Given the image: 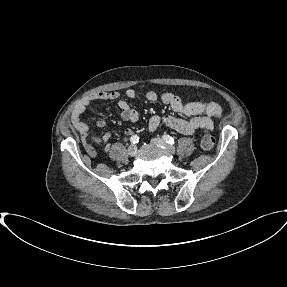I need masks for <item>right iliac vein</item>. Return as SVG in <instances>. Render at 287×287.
Returning a JSON list of instances; mask_svg holds the SVG:
<instances>
[{"instance_id":"1","label":"right iliac vein","mask_w":287,"mask_h":287,"mask_svg":"<svg viewBox=\"0 0 287 287\" xmlns=\"http://www.w3.org/2000/svg\"><path fill=\"white\" fill-rule=\"evenodd\" d=\"M127 153L129 156H135L137 153V146L134 144L130 145L127 149Z\"/></svg>"}]
</instances>
